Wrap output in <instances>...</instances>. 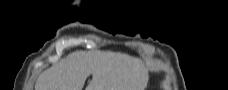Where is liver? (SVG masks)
Instances as JSON below:
<instances>
[{
  "label": "liver",
  "mask_w": 228,
  "mask_h": 90,
  "mask_svg": "<svg viewBox=\"0 0 228 90\" xmlns=\"http://www.w3.org/2000/svg\"><path fill=\"white\" fill-rule=\"evenodd\" d=\"M144 90L148 74L138 58L111 51H75L45 70L35 90Z\"/></svg>",
  "instance_id": "1"
}]
</instances>
